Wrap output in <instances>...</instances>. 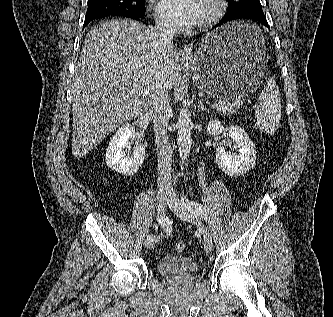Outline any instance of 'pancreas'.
<instances>
[{
    "label": "pancreas",
    "instance_id": "cf45deb5",
    "mask_svg": "<svg viewBox=\"0 0 333 317\" xmlns=\"http://www.w3.org/2000/svg\"><path fill=\"white\" fill-rule=\"evenodd\" d=\"M218 113L228 115L235 113L236 108H238V105H232V104H215L212 106Z\"/></svg>",
    "mask_w": 333,
    "mask_h": 317
}]
</instances>
